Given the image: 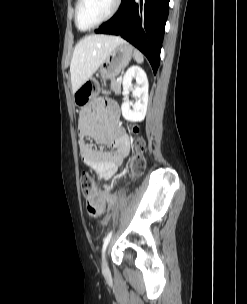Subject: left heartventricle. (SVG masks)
I'll return each instance as SVG.
<instances>
[{
    "label": "left heart ventricle",
    "mask_w": 247,
    "mask_h": 304,
    "mask_svg": "<svg viewBox=\"0 0 247 304\" xmlns=\"http://www.w3.org/2000/svg\"><path fill=\"white\" fill-rule=\"evenodd\" d=\"M115 0H83L79 9V26L89 28L102 20L113 8Z\"/></svg>",
    "instance_id": "b2bd125f"
}]
</instances>
